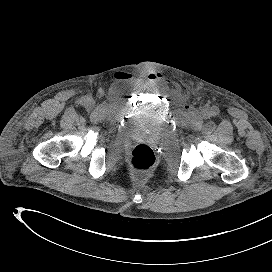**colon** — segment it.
I'll use <instances>...</instances> for the list:
<instances>
[{
    "label": "colon",
    "instance_id": "colon-1",
    "mask_svg": "<svg viewBox=\"0 0 272 272\" xmlns=\"http://www.w3.org/2000/svg\"><path fill=\"white\" fill-rule=\"evenodd\" d=\"M155 160L153 150L145 144H139L131 150L128 164L133 169L147 170L153 167Z\"/></svg>",
    "mask_w": 272,
    "mask_h": 272
}]
</instances>
